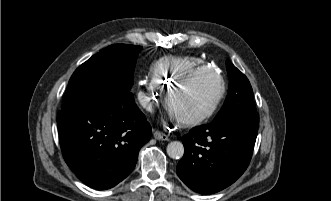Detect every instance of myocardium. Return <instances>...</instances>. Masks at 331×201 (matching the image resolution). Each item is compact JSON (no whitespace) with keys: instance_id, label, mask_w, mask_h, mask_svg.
Returning <instances> with one entry per match:
<instances>
[{"instance_id":"myocardium-1","label":"myocardium","mask_w":331,"mask_h":201,"mask_svg":"<svg viewBox=\"0 0 331 201\" xmlns=\"http://www.w3.org/2000/svg\"><path fill=\"white\" fill-rule=\"evenodd\" d=\"M205 73H211L216 77V79L219 82V91H218L217 95L214 97V99L212 100V102L201 112H199L193 116H189V117L177 116L178 120L183 124H186V125L197 124V123L202 122L203 120L209 118L211 115L214 114V112L217 110V108L220 105V103L225 95V92H226V84H225L224 78L222 75L217 73L215 70L208 68L206 66H203L201 68L191 71L179 85L170 87L167 90L166 103H167V106L170 109H172L171 102H172V98H173L175 91L179 87H185V86L189 85L197 77H199L200 75L205 74Z\"/></svg>"}]
</instances>
